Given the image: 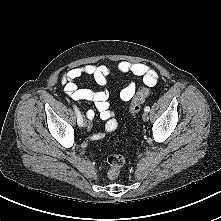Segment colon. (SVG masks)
<instances>
[{
    "label": "colon",
    "mask_w": 221,
    "mask_h": 221,
    "mask_svg": "<svg viewBox=\"0 0 221 221\" xmlns=\"http://www.w3.org/2000/svg\"><path fill=\"white\" fill-rule=\"evenodd\" d=\"M149 95H150V89L147 87H141L138 90V92L136 93L130 104V112L133 115L137 114L140 111L141 106L143 105L145 100L149 97ZM107 163L109 166L108 177L110 179H115L119 175L120 169L125 163V158L121 154H112L108 156Z\"/></svg>",
    "instance_id": "1"
}]
</instances>
